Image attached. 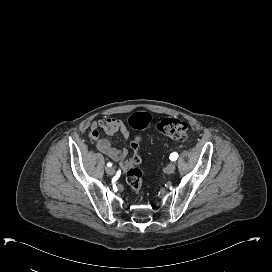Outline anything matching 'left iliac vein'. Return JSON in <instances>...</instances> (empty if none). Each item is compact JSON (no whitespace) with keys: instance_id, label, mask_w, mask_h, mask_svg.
<instances>
[{"instance_id":"4c4485c4","label":"left iliac vein","mask_w":272,"mask_h":272,"mask_svg":"<svg viewBox=\"0 0 272 272\" xmlns=\"http://www.w3.org/2000/svg\"><path fill=\"white\" fill-rule=\"evenodd\" d=\"M176 165L174 162H170L166 168H165V172L167 174H172L175 171Z\"/></svg>"}]
</instances>
